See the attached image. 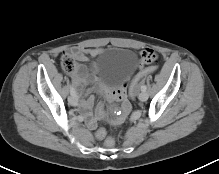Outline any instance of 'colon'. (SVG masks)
Returning a JSON list of instances; mask_svg holds the SVG:
<instances>
[{"instance_id": "1", "label": "colon", "mask_w": 219, "mask_h": 174, "mask_svg": "<svg viewBox=\"0 0 219 174\" xmlns=\"http://www.w3.org/2000/svg\"><path fill=\"white\" fill-rule=\"evenodd\" d=\"M62 68L67 73H73L76 63L73 57L70 55H63L62 61H61ZM156 71V68L154 66H146L139 70V72L135 75L133 78L130 87H129V93L133 97L136 93L138 85L141 83V81L148 75L154 73ZM95 136L98 139H105V144L107 147H113L115 144V137L112 135H108L107 132L104 129H99L96 131Z\"/></svg>"}]
</instances>
